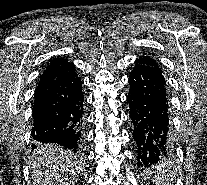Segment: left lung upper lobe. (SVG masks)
Masks as SVG:
<instances>
[{"label":"left lung upper lobe","instance_id":"1","mask_svg":"<svg viewBox=\"0 0 207 185\" xmlns=\"http://www.w3.org/2000/svg\"><path fill=\"white\" fill-rule=\"evenodd\" d=\"M137 64H141V65H146V66H150V67H153V68H156L158 70L161 71L158 63L152 59L151 57L149 56H142L140 57L137 61H136ZM136 64V65H137ZM162 72V71H161Z\"/></svg>","mask_w":207,"mask_h":185}]
</instances>
